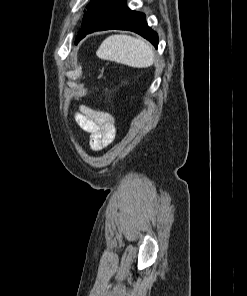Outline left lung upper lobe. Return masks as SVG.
Listing matches in <instances>:
<instances>
[{"label": "left lung upper lobe", "mask_w": 247, "mask_h": 296, "mask_svg": "<svg viewBox=\"0 0 247 296\" xmlns=\"http://www.w3.org/2000/svg\"><path fill=\"white\" fill-rule=\"evenodd\" d=\"M99 0H93L91 1L88 6H87V9L89 10L92 6H94Z\"/></svg>", "instance_id": "obj_1"}]
</instances>
